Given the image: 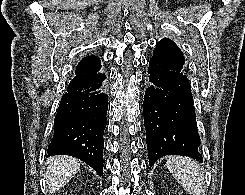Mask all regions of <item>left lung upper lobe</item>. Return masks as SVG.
Masks as SVG:
<instances>
[{"label":"left lung upper lobe","instance_id":"1","mask_svg":"<svg viewBox=\"0 0 245 195\" xmlns=\"http://www.w3.org/2000/svg\"><path fill=\"white\" fill-rule=\"evenodd\" d=\"M153 57L171 64L177 70L183 71L184 57L182 51L170 39H162L153 51Z\"/></svg>","mask_w":245,"mask_h":195}]
</instances>
